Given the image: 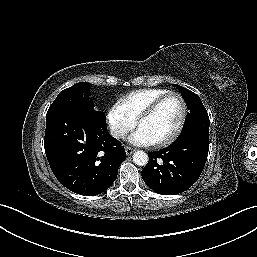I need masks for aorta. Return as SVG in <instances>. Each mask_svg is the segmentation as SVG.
<instances>
[{
    "label": "aorta",
    "mask_w": 257,
    "mask_h": 257,
    "mask_svg": "<svg viewBox=\"0 0 257 257\" xmlns=\"http://www.w3.org/2000/svg\"><path fill=\"white\" fill-rule=\"evenodd\" d=\"M133 161L138 166H145L148 163V155L144 151H136L133 154Z\"/></svg>",
    "instance_id": "obj_1"
}]
</instances>
